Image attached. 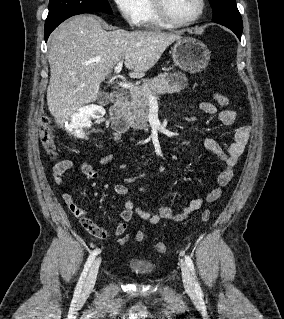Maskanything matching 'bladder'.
Returning a JSON list of instances; mask_svg holds the SVG:
<instances>
[{
  "mask_svg": "<svg viewBox=\"0 0 284 319\" xmlns=\"http://www.w3.org/2000/svg\"><path fill=\"white\" fill-rule=\"evenodd\" d=\"M128 267L135 274L147 276L154 271L155 264L149 260L133 258L129 260Z\"/></svg>",
  "mask_w": 284,
  "mask_h": 319,
  "instance_id": "obj_1",
  "label": "bladder"
}]
</instances>
